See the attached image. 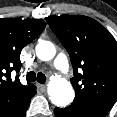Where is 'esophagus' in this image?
I'll return each instance as SVG.
<instances>
[{
    "instance_id": "1",
    "label": "esophagus",
    "mask_w": 117,
    "mask_h": 117,
    "mask_svg": "<svg viewBox=\"0 0 117 117\" xmlns=\"http://www.w3.org/2000/svg\"><path fill=\"white\" fill-rule=\"evenodd\" d=\"M37 86H38V88H39V90H40L41 92H45V90H46V85L37 84Z\"/></svg>"
}]
</instances>
